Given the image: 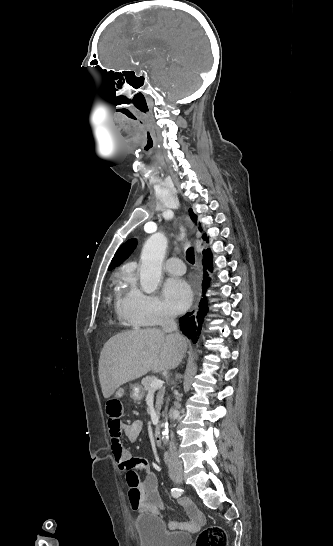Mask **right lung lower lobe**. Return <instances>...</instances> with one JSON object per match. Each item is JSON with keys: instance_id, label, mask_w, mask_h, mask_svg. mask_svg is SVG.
<instances>
[{"instance_id": "right-lung-lower-lobe-1", "label": "right lung lower lobe", "mask_w": 333, "mask_h": 546, "mask_svg": "<svg viewBox=\"0 0 333 546\" xmlns=\"http://www.w3.org/2000/svg\"><path fill=\"white\" fill-rule=\"evenodd\" d=\"M203 265L205 270L202 282L203 298L200 301L198 311L196 313L194 311L188 312L179 319V326L181 331L184 335L191 339L193 343L197 342V336L200 334L202 321L208 311L205 293L207 291V287L210 285V279L208 277L206 269L212 271V256L209 250L205 251L203 254Z\"/></svg>"}]
</instances>
